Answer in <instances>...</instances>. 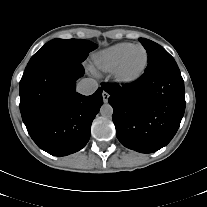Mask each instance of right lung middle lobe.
<instances>
[{
  "label": "right lung middle lobe",
  "instance_id": "1",
  "mask_svg": "<svg viewBox=\"0 0 207 207\" xmlns=\"http://www.w3.org/2000/svg\"><path fill=\"white\" fill-rule=\"evenodd\" d=\"M96 48L97 45L88 40L53 39L31 57L25 69L53 58H66L82 63L88 57L89 52Z\"/></svg>",
  "mask_w": 207,
  "mask_h": 207
}]
</instances>
